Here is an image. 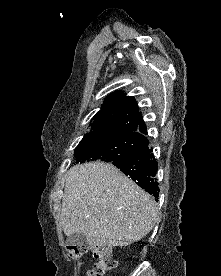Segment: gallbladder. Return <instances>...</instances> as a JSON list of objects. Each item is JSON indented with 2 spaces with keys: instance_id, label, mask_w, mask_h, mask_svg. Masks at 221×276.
<instances>
[{
  "instance_id": "bac80fb5",
  "label": "gallbladder",
  "mask_w": 221,
  "mask_h": 276,
  "mask_svg": "<svg viewBox=\"0 0 221 276\" xmlns=\"http://www.w3.org/2000/svg\"><path fill=\"white\" fill-rule=\"evenodd\" d=\"M66 244L70 246L87 247L88 241L82 233H75L67 237Z\"/></svg>"
}]
</instances>
